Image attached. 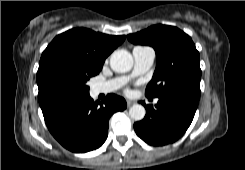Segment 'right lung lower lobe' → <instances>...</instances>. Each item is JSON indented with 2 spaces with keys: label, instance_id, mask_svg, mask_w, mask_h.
I'll use <instances>...</instances> for the list:
<instances>
[{
  "label": "right lung lower lobe",
  "instance_id": "98d812e1",
  "mask_svg": "<svg viewBox=\"0 0 245 170\" xmlns=\"http://www.w3.org/2000/svg\"><path fill=\"white\" fill-rule=\"evenodd\" d=\"M126 107V101L115 94H108L101 103L86 95L43 111V116L49 131L63 147L85 153L105 142L111 115Z\"/></svg>",
  "mask_w": 245,
  "mask_h": 170
}]
</instances>
